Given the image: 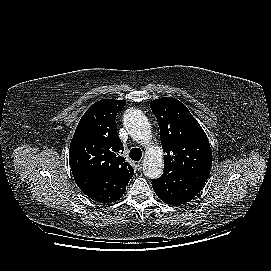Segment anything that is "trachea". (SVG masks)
<instances>
[{"label": "trachea", "instance_id": "trachea-1", "mask_svg": "<svg viewBox=\"0 0 271 271\" xmlns=\"http://www.w3.org/2000/svg\"><path fill=\"white\" fill-rule=\"evenodd\" d=\"M130 158L134 161H139L142 157V151L139 148H132L129 154Z\"/></svg>", "mask_w": 271, "mask_h": 271}]
</instances>
